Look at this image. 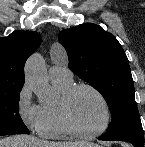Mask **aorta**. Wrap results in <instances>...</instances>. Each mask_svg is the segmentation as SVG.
<instances>
[{"instance_id":"762f6f07","label":"aorta","mask_w":145,"mask_h":147,"mask_svg":"<svg viewBox=\"0 0 145 147\" xmlns=\"http://www.w3.org/2000/svg\"><path fill=\"white\" fill-rule=\"evenodd\" d=\"M25 78L36 92L40 101L48 100L51 96L45 63L39 53H34L25 65Z\"/></svg>"}]
</instances>
